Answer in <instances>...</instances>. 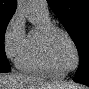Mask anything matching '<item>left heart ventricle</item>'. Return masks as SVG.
Returning <instances> with one entry per match:
<instances>
[{
	"label": "left heart ventricle",
	"instance_id": "obj_1",
	"mask_svg": "<svg viewBox=\"0 0 89 89\" xmlns=\"http://www.w3.org/2000/svg\"><path fill=\"white\" fill-rule=\"evenodd\" d=\"M53 53L61 70H69L75 66V51L65 36L58 34L54 38Z\"/></svg>",
	"mask_w": 89,
	"mask_h": 89
}]
</instances>
